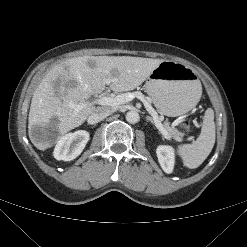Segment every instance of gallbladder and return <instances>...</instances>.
<instances>
[{
  "instance_id": "obj_1",
  "label": "gallbladder",
  "mask_w": 247,
  "mask_h": 247,
  "mask_svg": "<svg viewBox=\"0 0 247 247\" xmlns=\"http://www.w3.org/2000/svg\"><path fill=\"white\" fill-rule=\"evenodd\" d=\"M68 84L73 85V83H71V82H69ZM56 85H57V86H59V85H60V80H57V81H56Z\"/></svg>"
}]
</instances>
